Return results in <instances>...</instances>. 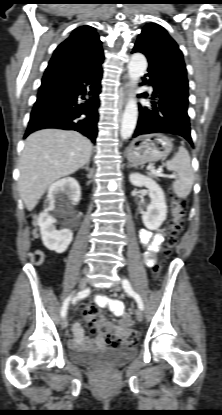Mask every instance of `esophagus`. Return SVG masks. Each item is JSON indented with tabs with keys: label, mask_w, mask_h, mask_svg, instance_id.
Here are the masks:
<instances>
[{
	"label": "esophagus",
	"mask_w": 222,
	"mask_h": 415,
	"mask_svg": "<svg viewBox=\"0 0 222 415\" xmlns=\"http://www.w3.org/2000/svg\"><path fill=\"white\" fill-rule=\"evenodd\" d=\"M128 89H129V84L127 83L124 87V92H123V104L126 102L127 100V94H128Z\"/></svg>",
	"instance_id": "esophagus-1"
}]
</instances>
